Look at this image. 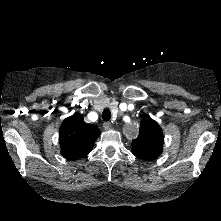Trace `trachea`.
Wrapping results in <instances>:
<instances>
[{"label":"trachea","mask_w":221,"mask_h":221,"mask_svg":"<svg viewBox=\"0 0 221 221\" xmlns=\"http://www.w3.org/2000/svg\"><path fill=\"white\" fill-rule=\"evenodd\" d=\"M111 118V112L109 109H105L103 112H102V119L104 121H109Z\"/></svg>","instance_id":"1"}]
</instances>
